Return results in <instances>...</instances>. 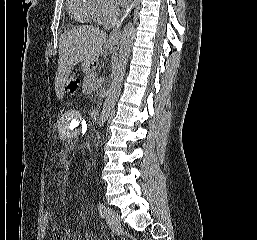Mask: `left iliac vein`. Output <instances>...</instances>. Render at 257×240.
<instances>
[{
    "label": "left iliac vein",
    "mask_w": 257,
    "mask_h": 240,
    "mask_svg": "<svg viewBox=\"0 0 257 240\" xmlns=\"http://www.w3.org/2000/svg\"><path fill=\"white\" fill-rule=\"evenodd\" d=\"M105 218L107 223L110 225L112 229L116 230L120 228L121 226L120 218L118 213L114 209L110 207L105 208Z\"/></svg>",
    "instance_id": "1"
}]
</instances>
